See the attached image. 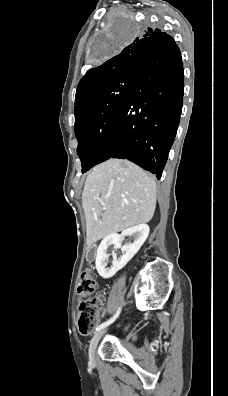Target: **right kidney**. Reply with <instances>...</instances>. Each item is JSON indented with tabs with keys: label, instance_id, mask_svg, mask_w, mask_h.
I'll list each match as a JSON object with an SVG mask.
<instances>
[{
	"label": "right kidney",
	"instance_id": "right-kidney-1",
	"mask_svg": "<svg viewBox=\"0 0 228 396\" xmlns=\"http://www.w3.org/2000/svg\"><path fill=\"white\" fill-rule=\"evenodd\" d=\"M148 235H149V226L147 224H139L123 230L121 235L113 233L106 236L101 241L97 249L95 265L98 274L104 279H108L114 276L139 251L141 246L146 241ZM126 236H133L134 242L122 246V241ZM111 244H113L115 248H120L122 251V255L117 258V255L113 252L112 266L107 267V261L109 257V255L107 254V248Z\"/></svg>",
	"mask_w": 228,
	"mask_h": 396
}]
</instances>
